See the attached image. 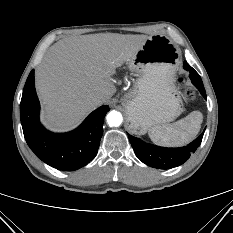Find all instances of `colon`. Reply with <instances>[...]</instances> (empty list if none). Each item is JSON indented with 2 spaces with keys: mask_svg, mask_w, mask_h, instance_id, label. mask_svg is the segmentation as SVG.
I'll use <instances>...</instances> for the list:
<instances>
[{
  "mask_svg": "<svg viewBox=\"0 0 233 233\" xmlns=\"http://www.w3.org/2000/svg\"><path fill=\"white\" fill-rule=\"evenodd\" d=\"M178 85L182 89L184 99L188 102L192 101L195 97L194 91L191 88L187 87L186 80L184 78H180L178 80Z\"/></svg>",
  "mask_w": 233,
  "mask_h": 233,
  "instance_id": "obj_1",
  "label": "colon"
}]
</instances>
